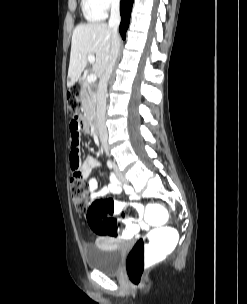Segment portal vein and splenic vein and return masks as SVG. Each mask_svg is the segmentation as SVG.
<instances>
[{
  "label": "portal vein and splenic vein",
  "mask_w": 247,
  "mask_h": 304,
  "mask_svg": "<svg viewBox=\"0 0 247 304\" xmlns=\"http://www.w3.org/2000/svg\"><path fill=\"white\" fill-rule=\"evenodd\" d=\"M88 61H89L90 63H94V62H95V56H94L93 54H89V55H88ZM96 79H97V75H96L95 73H91V74H89L88 77H87L88 83H93V82L96 81Z\"/></svg>",
  "instance_id": "obj_1"
}]
</instances>
